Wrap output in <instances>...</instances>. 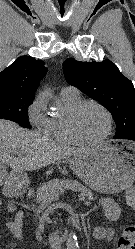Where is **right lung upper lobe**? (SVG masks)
<instances>
[{"mask_svg": "<svg viewBox=\"0 0 135 249\" xmlns=\"http://www.w3.org/2000/svg\"><path fill=\"white\" fill-rule=\"evenodd\" d=\"M47 68L42 60L20 56L0 72V94L32 96Z\"/></svg>", "mask_w": 135, "mask_h": 249, "instance_id": "obj_1", "label": "right lung upper lobe"}]
</instances>
